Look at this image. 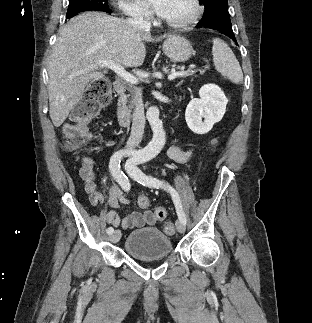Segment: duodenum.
<instances>
[{
  "instance_id": "obj_1",
  "label": "duodenum",
  "mask_w": 312,
  "mask_h": 323,
  "mask_svg": "<svg viewBox=\"0 0 312 323\" xmlns=\"http://www.w3.org/2000/svg\"><path fill=\"white\" fill-rule=\"evenodd\" d=\"M113 90L116 94V115L119 123L127 126L130 123L131 115L127 108L126 83L123 79H117L113 83Z\"/></svg>"
}]
</instances>
